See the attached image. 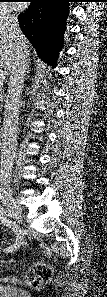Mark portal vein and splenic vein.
Wrapping results in <instances>:
<instances>
[{
  "instance_id": "1",
  "label": "portal vein and splenic vein",
  "mask_w": 107,
  "mask_h": 297,
  "mask_svg": "<svg viewBox=\"0 0 107 297\" xmlns=\"http://www.w3.org/2000/svg\"><path fill=\"white\" fill-rule=\"evenodd\" d=\"M5 80V75L4 74H0V82H3Z\"/></svg>"
}]
</instances>
